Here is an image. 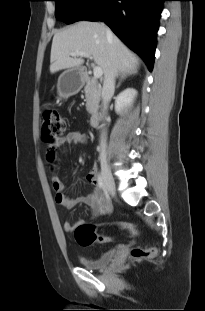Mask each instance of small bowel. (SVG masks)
I'll return each mask as SVG.
<instances>
[{
	"label": "small bowel",
	"mask_w": 205,
	"mask_h": 311,
	"mask_svg": "<svg viewBox=\"0 0 205 311\" xmlns=\"http://www.w3.org/2000/svg\"><path fill=\"white\" fill-rule=\"evenodd\" d=\"M88 140V135L80 131H72L67 133L63 138L54 144L55 149L65 150L72 145L84 144ZM52 186L56 192V202L66 208H73L79 203H85L90 206L94 216L105 213L110 207V201L99 189V181L96 176V168L92 167L87 174V181L94 186V190L85 197L74 198L67 193V187L62 179L56 174L55 168H52ZM83 221L73 222L66 221L64 230L73 232L78 224Z\"/></svg>",
	"instance_id": "c3829d8e"
}]
</instances>
